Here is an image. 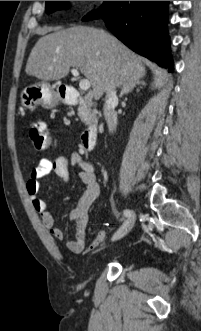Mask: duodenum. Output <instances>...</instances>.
<instances>
[{"label":"duodenum","instance_id":"duodenum-1","mask_svg":"<svg viewBox=\"0 0 201 331\" xmlns=\"http://www.w3.org/2000/svg\"><path fill=\"white\" fill-rule=\"evenodd\" d=\"M58 96L66 103L77 105L81 109L86 110L88 101L82 97L79 92L71 86H61L57 89ZM97 142V127L95 123H91L83 131L81 136V145L87 151H93Z\"/></svg>","mask_w":201,"mask_h":331}]
</instances>
